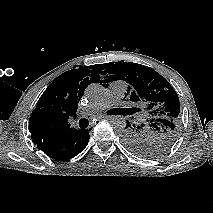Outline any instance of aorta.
<instances>
[{"label": "aorta", "mask_w": 213, "mask_h": 213, "mask_svg": "<svg viewBox=\"0 0 213 213\" xmlns=\"http://www.w3.org/2000/svg\"><path fill=\"white\" fill-rule=\"evenodd\" d=\"M105 88L99 83H92L86 89V94L91 99H98L105 95ZM112 126L119 132H122L126 127V119L123 116H116L112 120Z\"/></svg>", "instance_id": "1"}]
</instances>
